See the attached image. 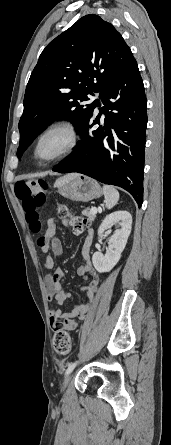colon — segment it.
Here are the masks:
<instances>
[{"mask_svg": "<svg viewBox=\"0 0 171 445\" xmlns=\"http://www.w3.org/2000/svg\"><path fill=\"white\" fill-rule=\"evenodd\" d=\"M47 190V183L41 180L22 181L15 185L16 196L26 212L28 222L35 231L40 227L38 210L45 204ZM58 214L73 229L75 234L82 233L87 225V219L70 214L65 206L59 208ZM53 347L59 355L69 353L71 348L70 336L65 329L61 327L56 329L53 337Z\"/></svg>", "mask_w": 171, "mask_h": 445, "instance_id": "5ec220e1", "label": "colon"}]
</instances>
